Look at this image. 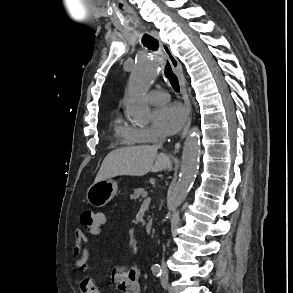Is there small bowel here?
I'll use <instances>...</instances> for the list:
<instances>
[{
	"mask_svg": "<svg viewBox=\"0 0 293 293\" xmlns=\"http://www.w3.org/2000/svg\"><path fill=\"white\" fill-rule=\"evenodd\" d=\"M98 217L101 220V228L106 224V216L103 213H98ZM95 232H88L86 234L81 229L75 231V246L73 249L74 254L77 256L76 267L80 271L87 269L90 253L84 246L88 242V235L92 237H98L101 234L102 229ZM112 283L122 293H141L140 285V270L136 266H118L112 272ZM95 286L94 281L90 277H83L79 281V288L81 293H90L91 288ZM100 293L99 289L98 292Z\"/></svg>",
	"mask_w": 293,
	"mask_h": 293,
	"instance_id": "1",
	"label": "small bowel"
}]
</instances>
